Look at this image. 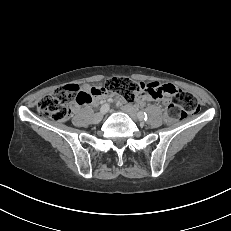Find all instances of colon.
Returning a JSON list of instances; mask_svg holds the SVG:
<instances>
[{
	"label": "colon",
	"mask_w": 231,
	"mask_h": 231,
	"mask_svg": "<svg viewBox=\"0 0 231 231\" xmlns=\"http://www.w3.org/2000/svg\"><path fill=\"white\" fill-rule=\"evenodd\" d=\"M159 83L145 84L128 78L112 77L102 86L93 87L91 95L102 91H110L122 95L126 100L136 99L147 87L157 88ZM90 99V95L81 91L76 84H68L57 89L37 103V113L42 118H49L58 122L68 120L71 113V104L77 102L83 104ZM199 110L197 99L190 93L175 89L173 101L168 103L165 109L166 121L174 123L182 120L186 115L196 113Z\"/></svg>",
	"instance_id": "obj_1"
}]
</instances>
